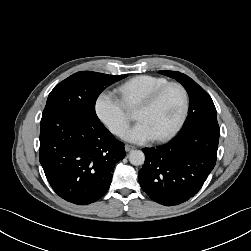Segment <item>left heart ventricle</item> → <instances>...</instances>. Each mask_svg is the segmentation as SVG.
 Segmentation results:
<instances>
[{"label": "left heart ventricle", "mask_w": 251, "mask_h": 251, "mask_svg": "<svg viewBox=\"0 0 251 251\" xmlns=\"http://www.w3.org/2000/svg\"><path fill=\"white\" fill-rule=\"evenodd\" d=\"M183 98L178 88L167 90L151 108H137L135 119L148 124L155 137L168 132L180 117Z\"/></svg>", "instance_id": "b2bd125f"}]
</instances>
